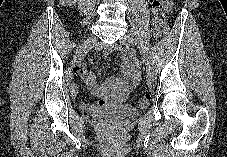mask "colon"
Returning <instances> with one entry per match:
<instances>
[{"instance_id":"5ec220e1","label":"colon","mask_w":227,"mask_h":157,"mask_svg":"<svg viewBox=\"0 0 227 157\" xmlns=\"http://www.w3.org/2000/svg\"><path fill=\"white\" fill-rule=\"evenodd\" d=\"M153 24L157 35L163 36L167 32V19L163 12L161 0H153L152 3ZM137 105L140 108H146L150 104V96L148 94L137 98Z\"/></svg>"}]
</instances>
